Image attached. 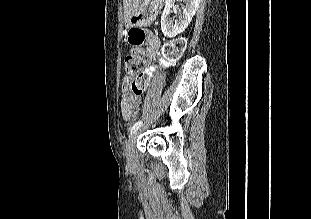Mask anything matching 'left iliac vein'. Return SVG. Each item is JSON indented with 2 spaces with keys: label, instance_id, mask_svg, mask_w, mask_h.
<instances>
[{
  "label": "left iliac vein",
  "instance_id": "4c4485c4",
  "mask_svg": "<svg viewBox=\"0 0 311 219\" xmlns=\"http://www.w3.org/2000/svg\"><path fill=\"white\" fill-rule=\"evenodd\" d=\"M139 134V131H135L131 133L127 143H126V148H125V155L126 159L129 163H132L134 160V150H135V143L137 136Z\"/></svg>",
  "mask_w": 311,
  "mask_h": 219
}]
</instances>
